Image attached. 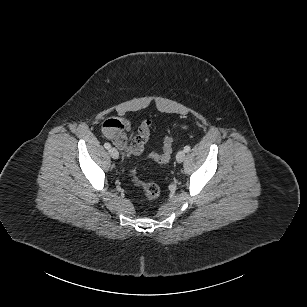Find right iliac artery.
<instances>
[{"label": "right iliac artery", "mask_w": 307, "mask_h": 307, "mask_svg": "<svg viewBox=\"0 0 307 307\" xmlns=\"http://www.w3.org/2000/svg\"><path fill=\"white\" fill-rule=\"evenodd\" d=\"M104 147L106 148V149H110L111 148V145L108 143V142H106L105 144H104Z\"/></svg>", "instance_id": "obj_1"}]
</instances>
